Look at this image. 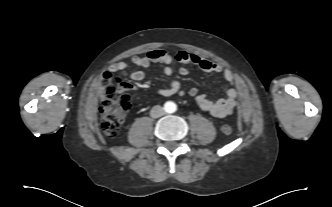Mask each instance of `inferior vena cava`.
<instances>
[{
    "mask_svg": "<svg viewBox=\"0 0 332 207\" xmlns=\"http://www.w3.org/2000/svg\"><path fill=\"white\" fill-rule=\"evenodd\" d=\"M163 114H164L163 108L159 105L152 107L150 111V115L153 118L161 117Z\"/></svg>",
    "mask_w": 332,
    "mask_h": 207,
    "instance_id": "602c4592",
    "label": "inferior vena cava"
}]
</instances>
